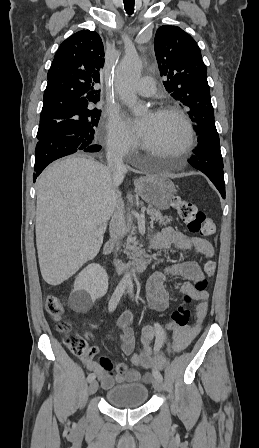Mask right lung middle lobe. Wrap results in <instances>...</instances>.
<instances>
[{
	"label": "right lung middle lobe",
	"mask_w": 259,
	"mask_h": 448,
	"mask_svg": "<svg viewBox=\"0 0 259 448\" xmlns=\"http://www.w3.org/2000/svg\"><path fill=\"white\" fill-rule=\"evenodd\" d=\"M101 110L92 105L72 111L40 115L37 139L52 135H74L82 139L85 146L95 144L96 131Z\"/></svg>",
	"instance_id": "obj_1"
}]
</instances>
